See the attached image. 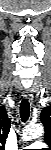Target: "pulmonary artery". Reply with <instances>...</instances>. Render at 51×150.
<instances>
[{
    "instance_id": "1",
    "label": "pulmonary artery",
    "mask_w": 51,
    "mask_h": 150,
    "mask_svg": "<svg viewBox=\"0 0 51 150\" xmlns=\"http://www.w3.org/2000/svg\"><path fill=\"white\" fill-rule=\"evenodd\" d=\"M44 146V144L42 143V142H35V143H33V144H31V145H29V146H27V148L28 149H33V148H41V147H43Z\"/></svg>"
}]
</instances>
